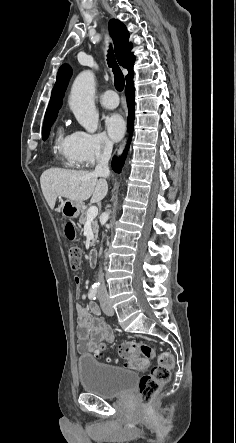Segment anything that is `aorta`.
I'll use <instances>...</instances> for the list:
<instances>
[{"label": "aorta", "instance_id": "762f6f07", "mask_svg": "<svg viewBox=\"0 0 236 443\" xmlns=\"http://www.w3.org/2000/svg\"><path fill=\"white\" fill-rule=\"evenodd\" d=\"M94 94L95 75L91 70L83 71L72 85L69 106L79 124L89 133L96 132L99 121Z\"/></svg>", "mask_w": 236, "mask_h": 443}]
</instances>
